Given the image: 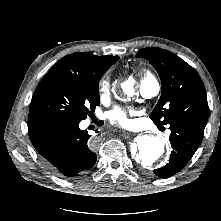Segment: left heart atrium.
Segmentation results:
<instances>
[{
    "label": "left heart atrium",
    "instance_id": "1",
    "mask_svg": "<svg viewBox=\"0 0 221 221\" xmlns=\"http://www.w3.org/2000/svg\"><path fill=\"white\" fill-rule=\"evenodd\" d=\"M133 113L134 110L132 108L118 106L108 113V118L112 124L119 125L121 127H128L131 124L129 115Z\"/></svg>",
    "mask_w": 221,
    "mask_h": 221
}]
</instances>
